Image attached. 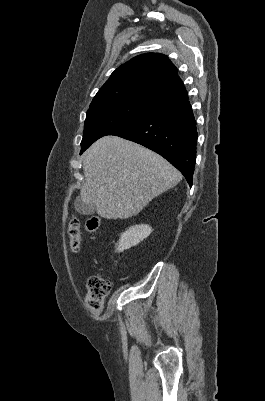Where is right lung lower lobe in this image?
<instances>
[{"mask_svg": "<svg viewBox=\"0 0 265 401\" xmlns=\"http://www.w3.org/2000/svg\"><path fill=\"white\" fill-rule=\"evenodd\" d=\"M188 96L167 102L157 111L112 131L167 159L192 186L196 162V120Z\"/></svg>", "mask_w": 265, "mask_h": 401, "instance_id": "98d812e1", "label": "right lung lower lobe"}]
</instances>
